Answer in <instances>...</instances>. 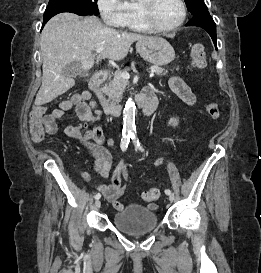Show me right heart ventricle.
<instances>
[{
  "instance_id": "1",
  "label": "right heart ventricle",
  "mask_w": 261,
  "mask_h": 273,
  "mask_svg": "<svg viewBox=\"0 0 261 273\" xmlns=\"http://www.w3.org/2000/svg\"><path fill=\"white\" fill-rule=\"evenodd\" d=\"M140 3L141 0H127L124 2V17L121 28L138 33H149L152 31L144 22Z\"/></svg>"
}]
</instances>
